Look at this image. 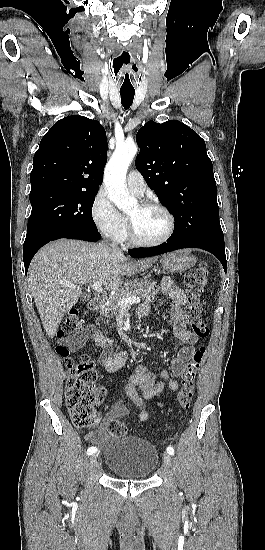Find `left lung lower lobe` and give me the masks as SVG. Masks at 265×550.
Returning a JSON list of instances; mask_svg holds the SVG:
<instances>
[{"label":"left lung lower lobe","instance_id":"0a47b994","mask_svg":"<svg viewBox=\"0 0 265 550\" xmlns=\"http://www.w3.org/2000/svg\"><path fill=\"white\" fill-rule=\"evenodd\" d=\"M182 248H200L204 249L212 254H214L223 265V268L226 272L227 270V261L225 255V247H219L215 244L199 241V240H182V241H167L162 246L153 247V248H138L129 251L130 256L134 258H142L149 256L161 255L167 252H171L177 249Z\"/></svg>","mask_w":265,"mask_h":550}]
</instances>
